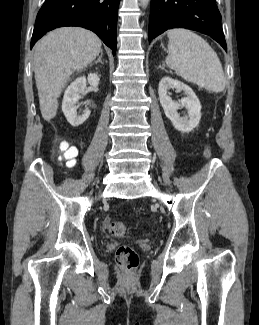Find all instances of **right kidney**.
I'll return each mask as SVG.
<instances>
[{"mask_svg":"<svg viewBox=\"0 0 259 325\" xmlns=\"http://www.w3.org/2000/svg\"><path fill=\"white\" fill-rule=\"evenodd\" d=\"M99 81L100 77L97 73H90L87 78L85 76L77 78L65 90L62 101V111L67 121L72 126L77 127L89 118L91 111L86 108L83 114L78 115V106H76V104L84 93L86 83L88 82L91 86L96 87Z\"/></svg>","mask_w":259,"mask_h":325,"instance_id":"right-kidney-1","label":"right kidney"}]
</instances>
